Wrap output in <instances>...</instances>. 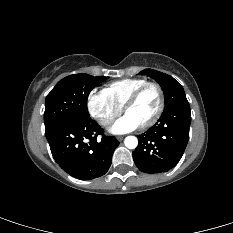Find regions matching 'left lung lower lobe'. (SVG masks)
I'll return each mask as SVG.
<instances>
[{"mask_svg":"<svg viewBox=\"0 0 233 233\" xmlns=\"http://www.w3.org/2000/svg\"><path fill=\"white\" fill-rule=\"evenodd\" d=\"M191 110L182 99L163 111L161 118L139 137L133 159L145 173L167 172L181 159L189 139Z\"/></svg>","mask_w":233,"mask_h":233,"instance_id":"1","label":"left lung lower lobe"}]
</instances>
